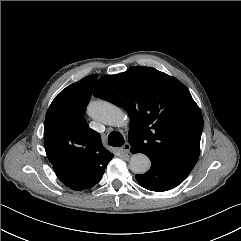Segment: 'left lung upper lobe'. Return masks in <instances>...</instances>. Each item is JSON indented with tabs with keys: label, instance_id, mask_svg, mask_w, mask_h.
Masks as SVG:
<instances>
[{
	"label": "left lung upper lobe",
	"instance_id": "5c2ea615",
	"mask_svg": "<svg viewBox=\"0 0 241 241\" xmlns=\"http://www.w3.org/2000/svg\"><path fill=\"white\" fill-rule=\"evenodd\" d=\"M94 96L124 108L128 141L151 162L190 173L200 153L201 111L176 78L151 67H132L98 80Z\"/></svg>",
	"mask_w": 241,
	"mask_h": 241
}]
</instances>
